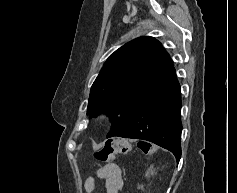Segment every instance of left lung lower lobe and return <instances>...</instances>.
<instances>
[{
	"mask_svg": "<svg viewBox=\"0 0 237 193\" xmlns=\"http://www.w3.org/2000/svg\"><path fill=\"white\" fill-rule=\"evenodd\" d=\"M181 93L170 67L145 92L127 126L118 134L122 138L150 141L171 151L177 163L181 157Z\"/></svg>",
	"mask_w": 237,
	"mask_h": 193,
	"instance_id": "0a47b994",
	"label": "left lung lower lobe"
}]
</instances>
